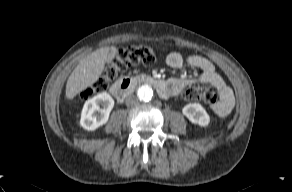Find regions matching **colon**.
<instances>
[{
    "label": "colon",
    "mask_w": 292,
    "mask_h": 192,
    "mask_svg": "<svg viewBox=\"0 0 292 192\" xmlns=\"http://www.w3.org/2000/svg\"><path fill=\"white\" fill-rule=\"evenodd\" d=\"M158 59L156 51L147 46H129L120 49L111 63L105 68L100 78L92 85L83 89L75 102L85 101L93 95L104 92L116 80L118 75L128 67L137 64L152 65ZM183 97L187 101H203L215 104L218 100L217 89L214 86H200L188 88Z\"/></svg>",
    "instance_id": "obj_1"
}]
</instances>
